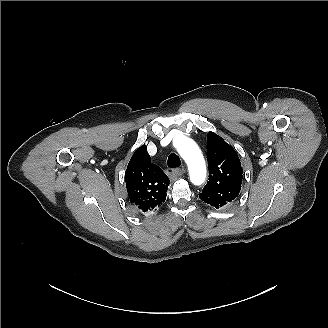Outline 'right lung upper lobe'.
I'll list each match as a JSON object with an SVG mask.
<instances>
[{
  "mask_svg": "<svg viewBox=\"0 0 328 328\" xmlns=\"http://www.w3.org/2000/svg\"><path fill=\"white\" fill-rule=\"evenodd\" d=\"M125 180L129 200L142 215L156 211L165 202L169 178L160 167L151 163L146 146L134 152Z\"/></svg>",
  "mask_w": 328,
  "mask_h": 328,
  "instance_id": "obj_1",
  "label": "right lung upper lobe"
}]
</instances>
